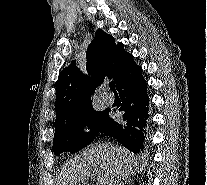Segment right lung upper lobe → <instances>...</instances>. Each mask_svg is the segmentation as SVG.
Here are the masks:
<instances>
[{
	"label": "right lung upper lobe",
	"mask_w": 207,
	"mask_h": 185,
	"mask_svg": "<svg viewBox=\"0 0 207 185\" xmlns=\"http://www.w3.org/2000/svg\"><path fill=\"white\" fill-rule=\"evenodd\" d=\"M86 57V69L91 78L81 73L75 61L59 74L55 128L94 110L90 94L94 93L105 78L113 79L118 85L142 71L134 62L133 56L124 50L123 44H115V39L101 29L96 31L94 40L87 48Z\"/></svg>",
	"instance_id": "cb5924a9"
}]
</instances>
